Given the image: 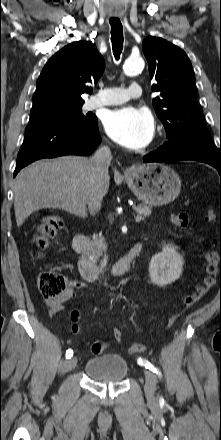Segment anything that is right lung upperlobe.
Instances as JSON below:
<instances>
[{
	"mask_svg": "<svg viewBox=\"0 0 221 440\" xmlns=\"http://www.w3.org/2000/svg\"><path fill=\"white\" fill-rule=\"evenodd\" d=\"M105 69L104 58L90 41L73 42L52 56L36 84L31 111L55 104H83Z\"/></svg>",
	"mask_w": 221,
	"mask_h": 440,
	"instance_id": "1",
	"label": "right lung upper lobe"
}]
</instances>
